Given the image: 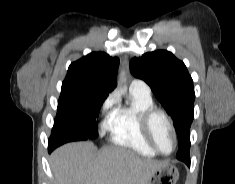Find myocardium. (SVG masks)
Returning <instances> with one entry per match:
<instances>
[{
	"instance_id": "myocardium-1",
	"label": "myocardium",
	"mask_w": 235,
	"mask_h": 184,
	"mask_svg": "<svg viewBox=\"0 0 235 184\" xmlns=\"http://www.w3.org/2000/svg\"><path fill=\"white\" fill-rule=\"evenodd\" d=\"M158 116H160L164 119V121L169 126V128L171 129V131L174 135L175 147H174L173 151L169 154H165V153L161 152L155 142V139H154L153 124H154L155 118ZM141 127H142L143 133H144L145 137L147 138V140L149 141L152 149L158 155L168 157V156H171L175 153V151L177 150V147H178V134H177V130H176V127L173 123L172 118L165 110L153 106V107L147 109L146 111H144L141 116Z\"/></svg>"
}]
</instances>
